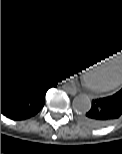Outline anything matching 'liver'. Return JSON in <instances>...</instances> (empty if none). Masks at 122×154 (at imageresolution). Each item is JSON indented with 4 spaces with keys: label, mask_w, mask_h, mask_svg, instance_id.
<instances>
[{
    "label": "liver",
    "mask_w": 122,
    "mask_h": 154,
    "mask_svg": "<svg viewBox=\"0 0 122 154\" xmlns=\"http://www.w3.org/2000/svg\"><path fill=\"white\" fill-rule=\"evenodd\" d=\"M36 64L35 63H33L29 68H31V67H34Z\"/></svg>",
    "instance_id": "obj_1"
}]
</instances>
